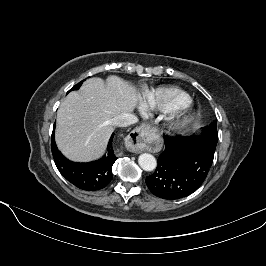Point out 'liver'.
I'll use <instances>...</instances> for the list:
<instances>
[{
	"label": "liver",
	"mask_w": 266,
	"mask_h": 266,
	"mask_svg": "<svg viewBox=\"0 0 266 266\" xmlns=\"http://www.w3.org/2000/svg\"><path fill=\"white\" fill-rule=\"evenodd\" d=\"M137 88L117 76L87 79L79 92L67 95L57 111L55 139L73 161L99 158L114 127L111 119L132 112L140 101Z\"/></svg>",
	"instance_id": "1"
}]
</instances>
